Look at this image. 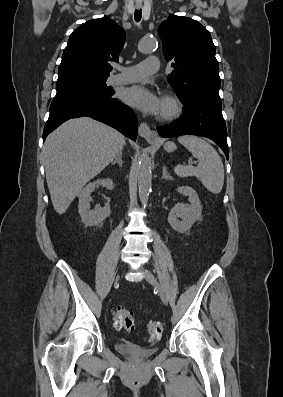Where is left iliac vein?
Masks as SVG:
<instances>
[{"instance_id": "obj_1", "label": "left iliac vein", "mask_w": 283, "mask_h": 397, "mask_svg": "<svg viewBox=\"0 0 283 397\" xmlns=\"http://www.w3.org/2000/svg\"><path fill=\"white\" fill-rule=\"evenodd\" d=\"M141 271L143 272L146 281L157 288L158 294H159L162 302L165 305H167L168 304V298H167L165 292L160 288V286H159L156 278L154 277V275L149 270H147L145 268H141Z\"/></svg>"}]
</instances>
